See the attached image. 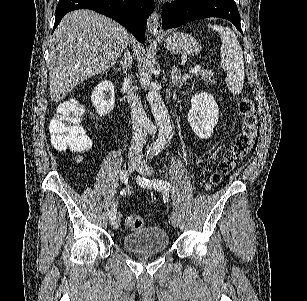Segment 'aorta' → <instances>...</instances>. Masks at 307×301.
I'll return each instance as SVG.
<instances>
[{"instance_id":"1","label":"aorta","mask_w":307,"mask_h":301,"mask_svg":"<svg viewBox=\"0 0 307 301\" xmlns=\"http://www.w3.org/2000/svg\"><path fill=\"white\" fill-rule=\"evenodd\" d=\"M147 84L149 86V92L147 94L148 102L158 126V136L154 144H152L151 151H156V153L158 151L159 153L160 148H163V144H166L172 138L174 126L156 82L148 80Z\"/></svg>"}]
</instances>
